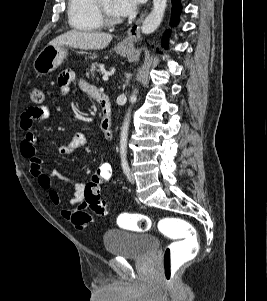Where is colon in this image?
Segmentation results:
<instances>
[{
	"mask_svg": "<svg viewBox=\"0 0 267 301\" xmlns=\"http://www.w3.org/2000/svg\"><path fill=\"white\" fill-rule=\"evenodd\" d=\"M30 98L34 104H41L44 101V93L39 87H33ZM112 174L111 164L102 163L85 186V202L99 216L107 213V204L101 195V185L108 183ZM119 223L138 232H146L156 226L163 235L173 240L163 251V277L167 282H171L178 270L197 254L196 230L184 219L166 217L154 222L145 214L123 213L119 216Z\"/></svg>",
	"mask_w": 267,
	"mask_h": 301,
	"instance_id": "colon-1",
	"label": "colon"
}]
</instances>
